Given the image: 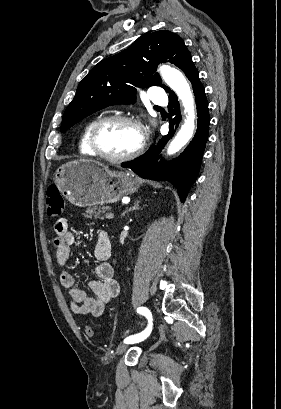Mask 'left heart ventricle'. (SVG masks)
<instances>
[{"label":"left heart ventricle","instance_id":"left-heart-ventricle-1","mask_svg":"<svg viewBox=\"0 0 281 409\" xmlns=\"http://www.w3.org/2000/svg\"><path fill=\"white\" fill-rule=\"evenodd\" d=\"M101 150L109 156H122L135 150L140 143L138 130L123 122L110 123L103 128L99 139Z\"/></svg>","mask_w":281,"mask_h":409}]
</instances>
